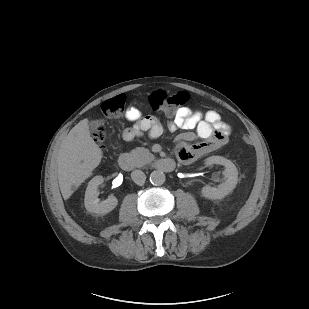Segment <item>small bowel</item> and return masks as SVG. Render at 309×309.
<instances>
[{
    "instance_id": "small-bowel-1",
    "label": "small bowel",
    "mask_w": 309,
    "mask_h": 309,
    "mask_svg": "<svg viewBox=\"0 0 309 309\" xmlns=\"http://www.w3.org/2000/svg\"><path fill=\"white\" fill-rule=\"evenodd\" d=\"M126 118L135 124L124 132V139L130 140L147 132L152 138H157L163 133V126L157 117L142 115L136 105H131L126 111ZM167 129L180 133L177 155L181 162L192 163L205 154L223 146L230 134V126L223 122L215 110L205 113L192 111L182 107L174 113L173 119L167 123Z\"/></svg>"
}]
</instances>
